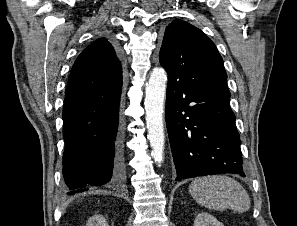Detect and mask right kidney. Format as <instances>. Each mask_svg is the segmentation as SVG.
Wrapping results in <instances>:
<instances>
[{"instance_id": "1", "label": "right kidney", "mask_w": 297, "mask_h": 226, "mask_svg": "<svg viewBox=\"0 0 297 226\" xmlns=\"http://www.w3.org/2000/svg\"><path fill=\"white\" fill-rule=\"evenodd\" d=\"M86 226H109L106 219L102 215L92 216Z\"/></svg>"}]
</instances>
